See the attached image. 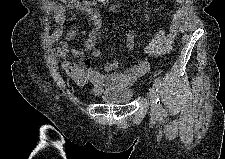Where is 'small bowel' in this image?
I'll use <instances>...</instances> for the list:
<instances>
[{
    "label": "small bowel",
    "mask_w": 225,
    "mask_h": 159,
    "mask_svg": "<svg viewBox=\"0 0 225 159\" xmlns=\"http://www.w3.org/2000/svg\"><path fill=\"white\" fill-rule=\"evenodd\" d=\"M47 11L52 15L56 24L54 30L47 36L49 45H59L54 50V56L58 60L60 70L78 86L91 84L93 93L98 94L104 87L121 84H133L138 78L145 75L149 70L150 57H157L169 53L173 49L177 34L179 20L183 14L184 2L179 1V8L176 11L174 23L171 29L166 32L160 29L155 36L145 45L141 52V58L130 68L119 72L117 68L119 60H113L103 64L95 65L88 56L92 54L94 58H100L102 52L96 49L97 37L101 29V18L93 2H81L72 0L63 5L55 1L48 2ZM111 10L114 13H121V7L115 5ZM85 14L93 24V29L89 33L83 49L70 46V42L76 36V26L72 25L65 33L67 13ZM64 35V38L62 39ZM126 47L128 50L135 49L134 33L128 29L126 34ZM68 54L80 59L79 63H71L63 60Z\"/></svg>",
    "instance_id": "c3829d8e"
}]
</instances>
